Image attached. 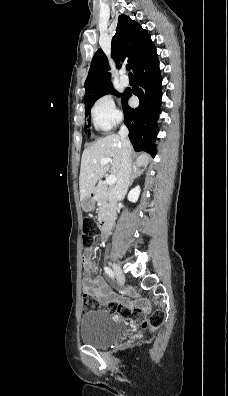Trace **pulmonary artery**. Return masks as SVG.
Masks as SVG:
<instances>
[{
	"label": "pulmonary artery",
	"instance_id": "1",
	"mask_svg": "<svg viewBox=\"0 0 228 396\" xmlns=\"http://www.w3.org/2000/svg\"><path fill=\"white\" fill-rule=\"evenodd\" d=\"M120 83L123 86H127L129 84V78L125 74H121L120 76Z\"/></svg>",
	"mask_w": 228,
	"mask_h": 396
}]
</instances>
